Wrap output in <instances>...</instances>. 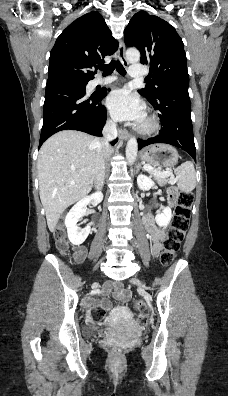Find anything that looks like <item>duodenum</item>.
<instances>
[{
  "label": "duodenum",
  "instance_id": "410a0bca",
  "mask_svg": "<svg viewBox=\"0 0 228 396\" xmlns=\"http://www.w3.org/2000/svg\"><path fill=\"white\" fill-rule=\"evenodd\" d=\"M148 231L151 235H154V233L156 231V227L154 226V224L152 222L148 223Z\"/></svg>",
  "mask_w": 228,
  "mask_h": 396
}]
</instances>
